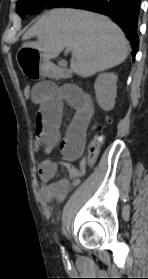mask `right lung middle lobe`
<instances>
[{
  "instance_id": "1",
  "label": "right lung middle lobe",
  "mask_w": 148,
  "mask_h": 279,
  "mask_svg": "<svg viewBox=\"0 0 148 279\" xmlns=\"http://www.w3.org/2000/svg\"><path fill=\"white\" fill-rule=\"evenodd\" d=\"M53 1L55 0H19L16 8L20 17L24 18L26 14H35Z\"/></svg>"
}]
</instances>
